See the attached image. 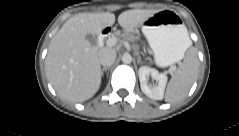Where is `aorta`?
I'll use <instances>...</instances> for the list:
<instances>
[{"label":"aorta","instance_id":"obj_1","mask_svg":"<svg viewBox=\"0 0 239 136\" xmlns=\"http://www.w3.org/2000/svg\"><path fill=\"white\" fill-rule=\"evenodd\" d=\"M122 62L124 64H130L132 62V56L129 53H125L122 56Z\"/></svg>","mask_w":239,"mask_h":136}]
</instances>
